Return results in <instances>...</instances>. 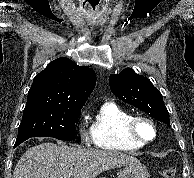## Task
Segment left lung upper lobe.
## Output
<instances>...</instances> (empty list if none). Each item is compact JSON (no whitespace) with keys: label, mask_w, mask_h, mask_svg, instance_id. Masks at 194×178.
Segmentation results:
<instances>
[{"label":"left lung upper lobe","mask_w":194,"mask_h":178,"mask_svg":"<svg viewBox=\"0 0 194 178\" xmlns=\"http://www.w3.org/2000/svg\"><path fill=\"white\" fill-rule=\"evenodd\" d=\"M109 84L116 97L170 126L169 113L164 105L163 96L148 78L127 68L119 74L111 75Z\"/></svg>","instance_id":"left-lung-upper-lobe-1"}]
</instances>
